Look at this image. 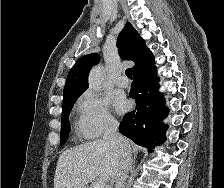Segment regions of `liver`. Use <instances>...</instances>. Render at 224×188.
Instances as JSON below:
<instances>
[{"mask_svg": "<svg viewBox=\"0 0 224 188\" xmlns=\"http://www.w3.org/2000/svg\"><path fill=\"white\" fill-rule=\"evenodd\" d=\"M119 162V151L103 139L67 149L58 159L54 188H86L97 177L113 179L118 172Z\"/></svg>", "mask_w": 224, "mask_h": 188, "instance_id": "obj_1", "label": "liver"}]
</instances>
